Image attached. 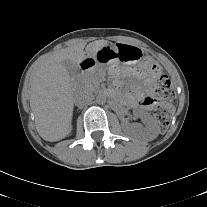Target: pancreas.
I'll use <instances>...</instances> for the list:
<instances>
[{
	"label": "pancreas",
	"instance_id": "pancreas-1",
	"mask_svg": "<svg viewBox=\"0 0 207 207\" xmlns=\"http://www.w3.org/2000/svg\"><path fill=\"white\" fill-rule=\"evenodd\" d=\"M103 73L101 69L96 68L84 75L81 86L84 89L94 91L98 88L99 82L102 79Z\"/></svg>",
	"mask_w": 207,
	"mask_h": 207
}]
</instances>
